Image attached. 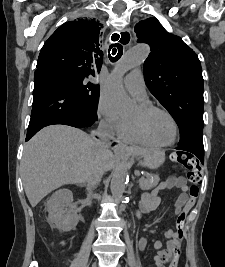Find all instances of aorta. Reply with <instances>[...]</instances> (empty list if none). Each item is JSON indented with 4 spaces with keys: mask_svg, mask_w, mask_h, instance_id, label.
<instances>
[{
    "mask_svg": "<svg viewBox=\"0 0 225 267\" xmlns=\"http://www.w3.org/2000/svg\"><path fill=\"white\" fill-rule=\"evenodd\" d=\"M149 54V47L145 44L132 46L127 53L117 61L112 72L111 80L106 87L105 96L107 100L119 111H125L132 105L127 96L122 77L129 70L141 65ZM128 169L125 165L118 166L112 175L110 189L113 198L120 203L128 183Z\"/></svg>",
    "mask_w": 225,
    "mask_h": 267,
    "instance_id": "1",
    "label": "aorta"
}]
</instances>
